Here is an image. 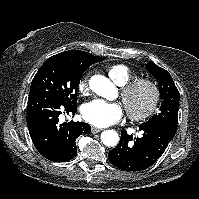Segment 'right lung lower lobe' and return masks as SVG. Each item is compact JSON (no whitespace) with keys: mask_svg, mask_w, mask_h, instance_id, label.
<instances>
[{"mask_svg":"<svg viewBox=\"0 0 199 199\" xmlns=\"http://www.w3.org/2000/svg\"><path fill=\"white\" fill-rule=\"evenodd\" d=\"M77 106H68L58 97L37 92L29 95L27 125L38 152L54 162H65L77 155L76 139L89 134L91 127L83 122H59L62 113L75 114Z\"/></svg>","mask_w":199,"mask_h":199,"instance_id":"right-lung-lower-lobe-1","label":"right lung lower lobe"}]
</instances>
